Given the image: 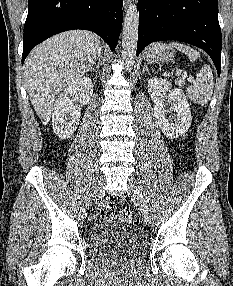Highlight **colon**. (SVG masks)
<instances>
[{"label":"colon","instance_id":"obj_1","mask_svg":"<svg viewBox=\"0 0 233 286\" xmlns=\"http://www.w3.org/2000/svg\"><path fill=\"white\" fill-rule=\"evenodd\" d=\"M100 217L103 218H113L115 217V208L112 203H105L100 208ZM119 218L122 221L128 222L133 225L139 224V217L133 211L129 209H124L120 212Z\"/></svg>","mask_w":233,"mask_h":286}]
</instances>
